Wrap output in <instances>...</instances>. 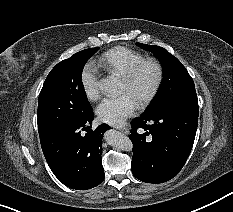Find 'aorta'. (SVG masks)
Masks as SVG:
<instances>
[{
	"mask_svg": "<svg viewBox=\"0 0 233 212\" xmlns=\"http://www.w3.org/2000/svg\"><path fill=\"white\" fill-rule=\"evenodd\" d=\"M98 87L105 93L117 94L119 91V81L114 76H108L99 81ZM106 142L118 150L132 151L133 144L131 140L124 134L116 131L109 130L105 133Z\"/></svg>",
	"mask_w": 233,
	"mask_h": 212,
	"instance_id": "obj_1",
	"label": "aorta"
}]
</instances>
